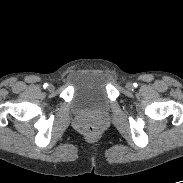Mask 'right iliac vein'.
Instances as JSON below:
<instances>
[{
    "mask_svg": "<svg viewBox=\"0 0 183 183\" xmlns=\"http://www.w3.org/2000/svg\"><path fill=\"white\" fill-rule=\"evenodd\" d=\"M48 90L53 91L54 90V85H52V84L48 85Z\"/></svg>",
    "mask_w": 183,
    "mask_h": 183,
    "instance_id": "right-iliac-vein-1",
    "label": "right iliac vein"
}]
</instances>
